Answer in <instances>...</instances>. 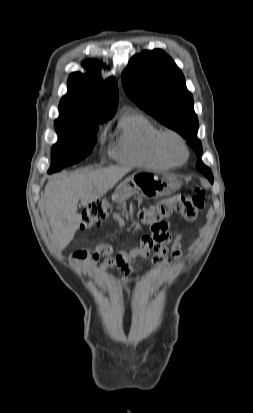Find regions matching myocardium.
Returning <instances> with one entry per match:
<instances>
[{
    "instance_id": "myocardium-1",
    "label": "myocardium",
    "mask_w": 253,
    "mask_h": 413,
    "mask_svg": "<svg viewBox=\"0 0 253 413\" xmlns=\"http://www.w3.org/2000/svg\"><path fill=\"white\" fill-rule=\"evenodd\" d=\"M172 142H177L182 151H183V159L182 160H177L172 152H171V143ZM158 145H159V149L162 153V155L174 166H181L184 163H186V161L189 158V148L188 145L185 141V139L177 132L173 131V130H165V131H161L160 135H159V140H158Z\"/></svg>"
}]
</instances>
